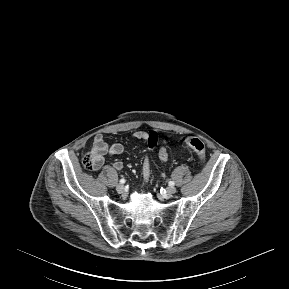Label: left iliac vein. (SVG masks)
<instances>
[{
	"instance_id": "obj_1",
	"label": "left iliac vein",
	"mask_w": 289,
	"mask_h": 289,
	"mask_svg": "<svg viewBox=\"0 0 289 289\" xmlns=\"http://www.w3.org/2000/svg\"><path fill=\"white\" fill-rule=\"evenodd\" d=\"M167 193L168 194H174V193H176V188L174 187V186H169V187H167Z\"/></svg>"
}]
</instances>
